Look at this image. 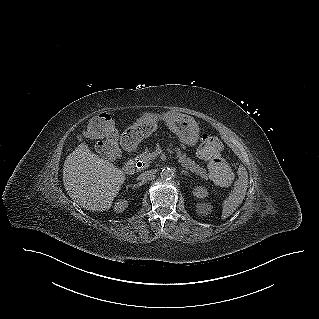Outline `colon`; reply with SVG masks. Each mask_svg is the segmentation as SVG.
Instances as JSON below:
<instances>
[{"instance_id": "obj_1", "label": "colon", "mask_w": 319, "mask_h": 319, "mask_svg": "<svg viewBox=\"0 0 319 319\" xmlns=\"http://www.w3.org/2000/svg\"><path fill=\"white\" fill-rule=\"evenodd\" d=\"M85 136L101 143L107 160L117 159L118 150L115 147L117 132L108 114L102 113L95 116L86 129ZM199 151L203 159L209 162V171L214 181L221 185L229 184L232 181V173L221 158V141L214 135H205L202 137Z\"/></svg>"}]
</instances>
